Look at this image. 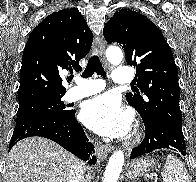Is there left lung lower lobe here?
Listing matches in <instances>:
<instances>
[{
	"label": "left lung lower lobe",
	"mask_w": 196,
	"mask_h": 182,
	"mask_svg": "<svg viewBox=\"0 0 196 182\" xmlns=\"http://www.w3.org/2000/svg\"><path fill=\"white\" fill-rule=\"evenodd\" d=\"M145 138L142 143L133 148L130 159H134L143 154L156 149H170L186 155V145L182 128H178L163 119H153L145 122Z\"/></svg>",
	"instance_id": "left-lung-lower-lobe-1"
}]
</instances>
